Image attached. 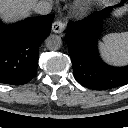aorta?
Listing matches in <instances>:
<instances>
[{
  "instance_id": "1",
  "label": "aorta",
  "mask_w": 128,
  "mask_h": 128,
  "mask_svg": "<svg viewBox=\"0 0 128 128\" xmlns=\"http://www.w3.org/2000/svg\"><path fill=\"white\" fill-rule=\"evenodd\" d=\"M45 43L49 50L56 51L62 46V39L58 35L51 34L46 38Z\"/></svg>"
}]
</instances>
